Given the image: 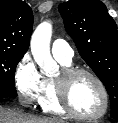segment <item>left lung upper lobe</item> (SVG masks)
<instances>
[{
	"label": "left lung upper lobe",
	"instance_id": "left-lung-upper-lobe-1",
	"mask_svg": "<svg viewBox=\"0 0 118 123\" xmlns=\"http://www.w3.org/2000/svg\"><path fill=\"white\" fill-rule=\"evenodd\" d=\"M67 33L105 85L111 117L118 120V31L100 0H69L58 6Z\"/></svg>",
	"mask_w": 118,
	"mask_h": 123
}]
</instances>
